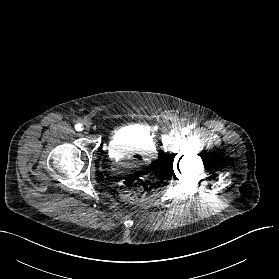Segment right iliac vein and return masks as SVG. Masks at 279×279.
<instances>
[{
	"label": "right iliac vein",
	"instance_id": "obj_1",
	"mask_svg": "<svg viewBox=\"0 0 279 279\" xmlns=\"http://www.w3.org/2000/svg\"><path fill=\"white\" fill-rule=\"evenodd\" d=\"M89 131V126H86L85 128H84V133H87Z\"/></svg>",
	"mask_w": 279,
	"mask_h": 279
}]
</instances>
